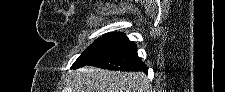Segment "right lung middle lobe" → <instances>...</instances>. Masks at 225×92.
Returning a JSON list of instances; mask_svg holds the SVG:
<instances>
[{"instance_id":"dd1d6c3e","label":"right lung middle lobe","mask_w":225,"mask_h":92,"mask_svg":"<svg viewBox=\"0 0 225 92\" xmlns=\"http://www.w3.org/2000/svg\"><path fill=\"white\" fill-rule=\"evenodd\" d=\"M133 42L124 33H107L90 45L74 62L72 69L88 65L90 62L111 53L117 49L127 47Z\"/></svg>"}]
</instances>
